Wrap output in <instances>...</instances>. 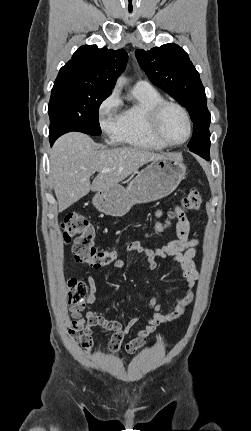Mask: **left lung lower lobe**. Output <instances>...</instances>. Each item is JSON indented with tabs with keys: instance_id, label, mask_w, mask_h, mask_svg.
Here are the masks:
<instances>
[{
	"instance_id": "0a47b994",
	"label": "left lung lower lobe",
	"mask_w": 251,
	"mask_h": 431,
	"mask_svg": "<svg viewBox=\"0 0 251 431\" xmlns=\"http://www.w3.org/2000/svg\"><path fill=\"white\" fill-rule=\"evenodd\" d=\"M193 131H197V132H198V130H196V128H195V127H193Z\"/></svg>"
}]
</instances>
